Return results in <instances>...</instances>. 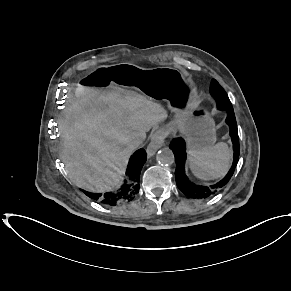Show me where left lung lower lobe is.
<instances>
[{"label":"left lung lower lobe","mask_w":291,"mask_h":291,"mask_svg":"<svg viewBox=\"0 0 291 291\" xmlns=\"http://www.w3.org/2000/svg\"><path fill=\"white\" fill-rule=\"evenodd\" d=\"M217 106L220 110L227 111L226 123L230 128V136L233 143L234 160L232 167L230 168L227 175L218 183L211 186L196 185L191 182L185 174V160H186V146L185 141L182 138H174L170 144V149L173 150L175 155L176 170L175 180L179 190L189 198L206 199L214 195L220 189H222L231 179L235 167L237 165L240 153L239 137L235 114L231 103H226L225 99L219 97L216 99Z\"/></svg>","instance_id":"left-lung-lower-lobe-1"}]
</instances>
